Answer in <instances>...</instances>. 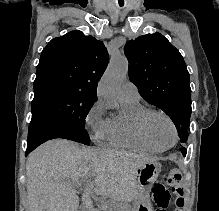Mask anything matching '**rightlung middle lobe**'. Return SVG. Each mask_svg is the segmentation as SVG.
Listing matches in <instances>:
<instances>
[{
  "label": "right lung middle lobe",
  "instance_id": "1",
  "mask_svg": "<svg viewBox=\"0 0 219 211\" xmlns=\"http://www.w3.org/2000/svg\"><path fill=\"white\" fill-rule=\"evenodd\" d=\"M96 98L60 88H50L34 93L32 119L51 121L74 128L90 141L85 129V119Z\"/></svg>",
  "mask_w": 219,
  "mask_h": 211
}]
</instances>
